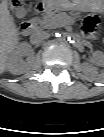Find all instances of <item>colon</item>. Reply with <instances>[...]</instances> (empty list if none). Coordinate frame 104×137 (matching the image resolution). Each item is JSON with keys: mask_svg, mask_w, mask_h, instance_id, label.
<instances>
[{"mask_svg": "<svg viewBox=\"0 0 104 137\" xmlns=\"http://www.w3.org/2000/svg\"><path fill=\"white\" fill-rule=\"evenodd\" d=\"M9 4L12 8H18L21 5V2L20 0H9ZM98 25L99 19L96 15H87L84 20L83 31L86 35L91 36L95 33Z\"/></svg>", "mask_w": 104, "mask_h": 137, "instance_id": "1", "label": "colon"}]
</instances>
